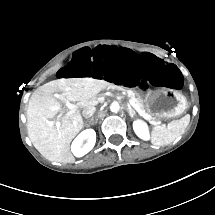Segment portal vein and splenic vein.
Returning a JSON list of instances; mask_svg holds the SVG:
<instances>
[{
	"label": "portal vein and splenic vein",
	"instance_id": "1",
	"mask_svg": "<svg viewBox=\"0 0 215 215\" xmlns=\"http://www.w3.org/2000/svg\"><path fill=\"white\" fill-rule=\"evenodd\" d=\"M129 102H130V106H132V107L138 112V114H139L140 116H142V117L145 118L146 114H145L144 111H142V110L140 109V107L138 106V104H136L135 101H133V100H130ZM68 108L70 109V112H72V111L75 109V105L70 104V105L68 106ZM48 123H50V122L48 121ZM56 126H60V122H57V123H56Z\"/></svg>",
	"mask_w": 215,
	"mask_h": 215
}]
</instances>
